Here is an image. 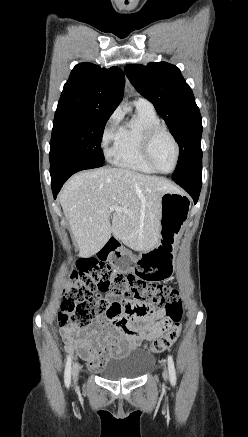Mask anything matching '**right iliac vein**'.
<instances>
[{"instance_id":"obj_1","label":"right iliac vein","mask_w":248,"mask_h":437,"mask_svg":"<svg viewBox=\"0 0 248 437\" xmlns=\"http://www.w3.org/2000/svg\"><path fill=\"white\" fill-rule=\"evenodd\" d=\"M72 374H73L74 381L77 382L78 375H79V365L77 363L73 365Z\"/></svg>"}]
</instances>
